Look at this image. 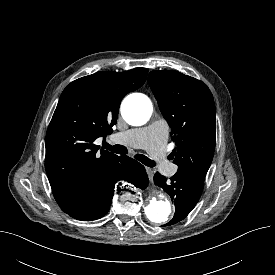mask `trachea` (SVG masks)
Masks as SVG:
<instances>
[{
	"instance_id": "1",
	"label": "trachea",
	"mask_w": 275,
	"mask_h": 275,
	"mask_svg": "<svg viewBox=\"0 0 275 275\" xmlns=\"http://www.w3.org/2000/svg\"><path fill=\"white\" fill-rule=\"evenodd\" d=\"M103 148L107 149L111 152L117 153V154H127V148L123 145H110L107 142L103 143ZM135 159H137L138 161H140L141 163H143L144 165L148 166V167H154L155 166V162L150 160L148 157H146L143 154H136L134 156Z\"/></svg>"
}]
</instances>
